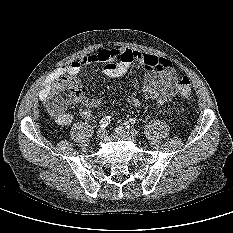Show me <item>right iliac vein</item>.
Returning <instances> with one entry per match:
<instances>
[{"label":"right iliac vein","instance_id":"obj_1","mask_svg":"<svg viewBox=\"0 0 233 233\" xmlns=\"http://www.w3.org/2000/svg\"><path fill=\"white\" fill-rule=\"evenodd\" d=\"M104 136H105V130H104V129H99V130L97 131V137H98L99 139H102Z\"/></svg>","mask_w":233,"mask_h":233}]
</instances>
